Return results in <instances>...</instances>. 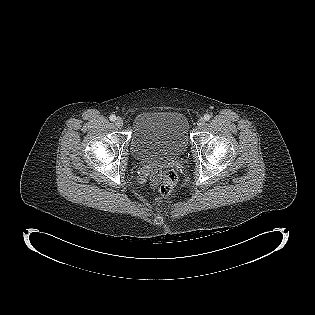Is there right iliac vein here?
<instances>
[{"instance_id": "1", "label": "right iliac vein", "mask_w": 315, "mask_h": 315, "mask_svg": "<svg viewBox=\"0 0 315 315\" xmlns=\"http://www.w3.org/2000/svg\"><path fill=\"white\" fill-rule=\"evenodd\" d=\"M123 124H124V122H123L122 118H120V117L116 118L115 125H116L117 128H122Z\"/></svg>"}]
</instances>
